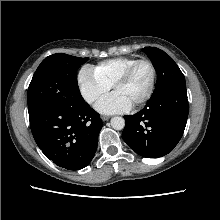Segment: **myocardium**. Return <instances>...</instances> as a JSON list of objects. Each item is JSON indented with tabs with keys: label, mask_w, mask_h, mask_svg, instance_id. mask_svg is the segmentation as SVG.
Here are the masks:
<instances>
[{
	"label": "myocardium",
	"mask_w": 220,
	"mask_h": 220,
	"mask_svg": "<svg viewBox=\"0 0 220 220\" xmlns=\"http://www.w3.org/2000/svg\"><path fill=\"white\" fill-rule=\"evenodd\" d=\"M141 64L149 65V67L151 69V82H150V86H149L147 93L145 94V96L142 99H140L138 102H136L133 105L134 108H137V107L144 105L153 96V93L156 88V82H157V69H156V66L153 63V61H151L150 59H147V58L138 59L130 67L127 68V70L115 81V83L112 86L113 90H115L117 87L127 83L130 80V78L132 77V75L134 74L137 67L140 66Z\"/></svg>",
	"instance_id": "f54148a6"
}]
</instances>
